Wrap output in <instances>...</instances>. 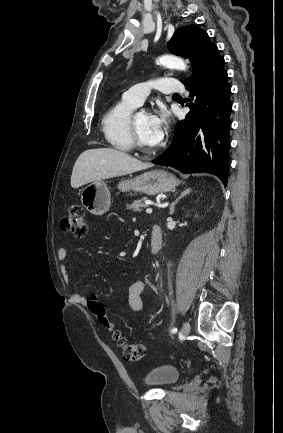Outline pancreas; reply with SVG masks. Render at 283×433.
<instances>
[{
    "mask_svg": "<svg viewBox=\"0 0 283 433\" xmlns=\"http://www.w3.org/2000/svg\"><path fill=\"white\" fill-rule=\"evenodd\" d=\"M145 200H149V198H147V196H143V198H139V200H133L132 204H128V208H132V210H138V212H141L142 208L148 206V204H145Z\"/></svg>",
    "mask_w": 283,
    "mask_h": 433,
    "instance_id": "obj_1",
    "label": "pancreas"
}]
</instances>
